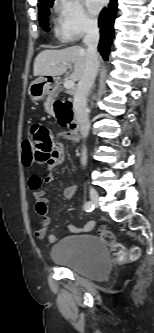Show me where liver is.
I'll return each instance as SVG.
<instances>
[{"label":"liver","mask_w":154,"mask_h":333,"mask_svg":"<svg viewBox=\"0 0 154 333\" xmlns=\"http://www.w3.org/2000/svg\"><path fill=\"white\" fill-rule=\"evenodd\" d=\"M86 50L71 46L61 50H43L34 61V76H60L67 71L64 63L74 65L70 79L79 81L85 69ZM54 64V65H52Z\"/></svg>","instance_id":"liver-1"}]
</instances>
